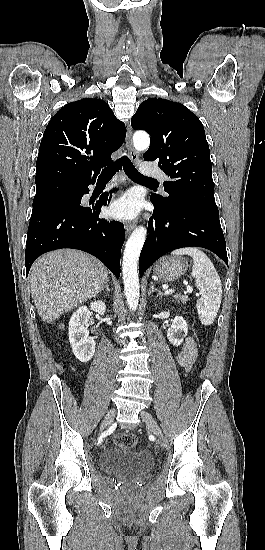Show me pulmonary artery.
<instances>
[{"mask_svg":"<svg viewBox=\"0 0 265 550\" xmlns=\"http://www.w3.org/2000/svg\"><path fill=\"white\" fill-rule=\"evenodd\" d=\"M148 174L150 176H153V177H156L162 181L166 180V176L163 174V172L159 169H153V170H148Z\"/></svg>","mask_w":265,"mask_h":550,"instance_id":"pulmonary-artery-1","label":"pulmonary artery"}]
</instances>
